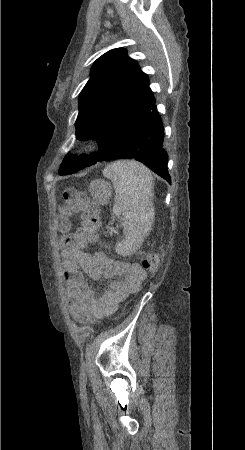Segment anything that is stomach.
<instances>
[{
	"label": "stomach",
	"instance_id": "1",
	"mask_svg": "<svg viewBox=\"0 0 245 450\" xmlns=\"http://www.w3.org/2000/svg\"><path fill=\"white\" fill-rule=\"evenodd\" d=\"M89 192L96 203L105 205L110 201L113 191L111 185L107 181L96 179L90 183Z\"/></svg>",
	"mask_w": 245,
	"mask_h": 450
}]
</instances>
